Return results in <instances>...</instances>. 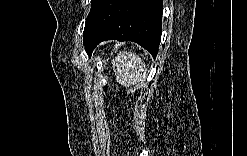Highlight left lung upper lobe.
<instances>
[{
  "instance_id": "left-lung-upper-lobe-1",
  "label": "left lung upper lobe",
  "mask_w": 247,
  "mask_h": 156,
  "mask_svg": "<svg viewBox=\"0 0 247 156\" xmlns=\"http://www.w3.org/2000/svg\"><path fill=\"white\" fill-rule=\"evenodd\" d=\"M103 2H104V0H91V10H90V12L86 18L84 35H85V32H86L87 28L89 27L90 23L92 22L97 10L99 9V7L102 5ZM83 43L85 44L84 39H83Z\"/></svg>"
}]
</instances>
